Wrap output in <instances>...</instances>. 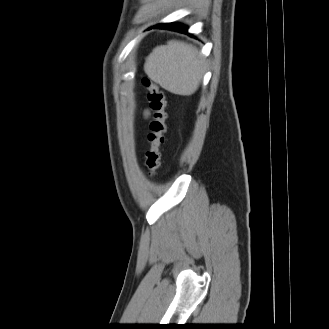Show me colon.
<instances>
[{
    "label": "colon",
    "mask_w": 329,
    "mask_h": 329,
    "mask_svg": "<svg viewBox=\"0 0 329 329\" xmlns=\"http://www.w3.org/2000/svg\"><path fill=\"white\" fill-rule=\"evenodd\" d=\"M142 85L147 90L149 107L153 113L148 134L149 149L145 153V166L151 177L156 176L160 167L161 147L165 141L166 101L158 85L147 77L142 78Z\"/></svg>",
    "instance_id": "colon-1"
}]
</instances>
